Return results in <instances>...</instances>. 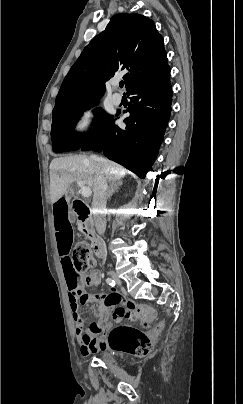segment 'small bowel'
<instances>
[{
    "label": "small bowel",
    "mask_w": 243,
    "mask_h": 404,
    "mask_svg": "<svg viewBox=\"0 0 243 404\" xmlns=\"http://www.w3.org/2000/svg\"><path fill=\"white\" fill-rule=\"evenodd\" d=\"M53 224L58 245L59 255L61 257V265L66 278L68 287V298L70 303V310L72 319L75 324V334L80 344V352L83 356H88L99 350L107 348V340L105 332L111 327V321H119L122 319L135 320L140 316L136 313V306L127 302L121 306V295L112 290L106 295H96L90 297L83 287L80 285L74 286L76 276L72 269V258L70 255L71 245L73 241V230L71 220L67 212L66 200L61 197L53 203ZM101 276L98 270L93 271L86 284L97 286L100 283ZM96 304L98 312V319L93 321L88 330L84 329L83 321L78 313L79 303L84 304L88 302ZM108 315L105 324L102 325V318Z\"/></svg>",
    "instance_id": "1"
}]
</instances>
